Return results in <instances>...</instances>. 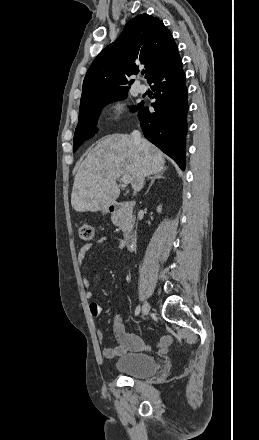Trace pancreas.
<instances>
[{"instance_id": "cf45deb5", "label": "pancreas", "mask_w": 259, "mask_h": 440, "mask_svg": "<svg viewBox=\"0 0 259 440\" xmlns=\"http://www.w3.org/2000/svg\"><path fill=\"white\" fill-rule=\"evenodd\" d=\"M113 223L118 226L124 233L132 229L134 218L126 208H122L113 218Z\"/></svg>"}]
</instances>
